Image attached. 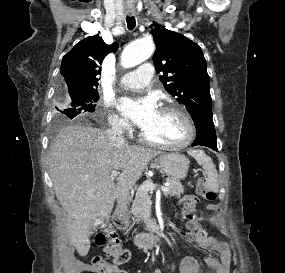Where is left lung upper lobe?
Returning a JSON list of instances; mask_svg holds the SVG:
<instances>
[{"mask_svg": "<svg viewBox=\"0 0 285 273\" xmlns=\"http://www.w3.org/2000/svg\"><path fill=\"white\" fill-rule=\"evenodd\" d=\"M153 62L168 93L186 106L192 118L212 114L209 76L200 46L184 35L155 24Z\"/></svg>", "mask_w": 285, "mask_h": 273, "instance_id": "obj_1", "label": "left lung upper lobe"}]
</instances>
